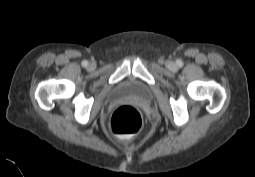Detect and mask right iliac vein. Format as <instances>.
Segmentation results:
<instances>
[{"label":"right iliac vein","instance_id":"63e3f726","mask_svg":"<svg viewBox=\"0 0 255 177\" xmlns=\"http://www.w3.org/2000/svg\"><path fill=\"white\" fill-rule=\"evenodd\" d=\"M88 68H89L90 70H93V69H94V64H90Z\"/></svg>","mask_w":255,"mask_h":177}]
</instances>
